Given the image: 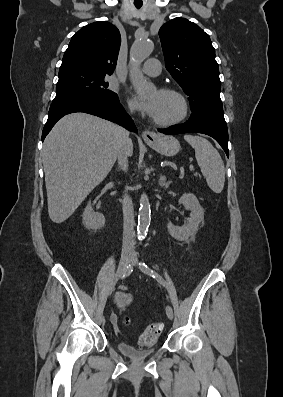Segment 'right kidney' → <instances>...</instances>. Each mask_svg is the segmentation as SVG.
<instances>
[{
  "label": "right kidney",
  "instance_id": "1",
  "mask_svg": "<svg viewBox=\"0 0 283 397\" xmlns=\"http://www.w3.org/2000/svg\"><path fill=\"white\" fill-rule=\"evenodd\" d=\"M83 224L91 230H98L105 225L104 215H95L91 206H87L83 213Z\"/></svg>",
  "mask_w": 283,
  "mask_h": 397
}]
</instances>
